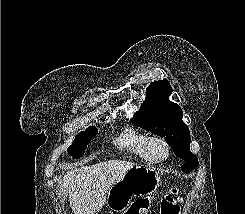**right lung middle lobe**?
<instances>
[{
	"label": "right lung middle lobe",
	"instance_id": "1",
	"mask_svg": "<svg viewBox=\"0 0 245 214\" xmlns=\"http://www.w3.org/2000/svg\"><path fill=\"white\" fill-rule=\"evenodd\" d=\"M98 130L95 127H90L89 130L81 132L73 144L68 148L69 155L73 158L81 157L85 152V147L89 144L91 139L97 134Z\"/></svg>",
	"mask_w": 245,
	"mask_h": 214
}]
</instances>
